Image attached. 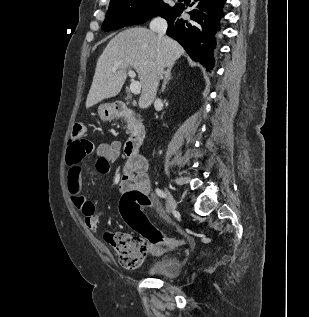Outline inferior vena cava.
Here are the masks:
<instances>
[{"label":"inferior vena cava","instance_id":"602c4592","mask_svg":"<svg viewBox=\"0 0 309 317\" xmlns=\"http://www.w3.org/2000/svg\"><path fill=\"white\" fill-rule=\"evenodd\" d=\"M167 22L166 20L158 17L155 18L151 23H150V29L158 34V38L161 40L164 38V35L167 30ZM164 73V68L160 67L158 69V80L162 78V75Z\"/></svg>","mask_w":309,"mask_h":317}]
</instances>
